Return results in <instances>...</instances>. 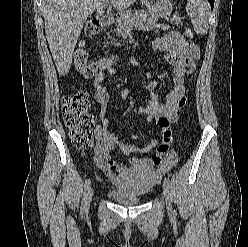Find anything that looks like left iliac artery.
Segmentation results:
<instances>
[{"mask_svg":"<svg viewBox=\"0 0 248 247\" xmlns=\"http://www.w3.org/2000/svg\"><path fill=\"white\" fill-rule=\"evenodd\" d=\"M165 180H168V181H169V183L171 184V181H170V179H169V178H165ZM172 212H173V213H176V212H175V210H173Z\"/></svg>","mask_w":248,"mask_h":247,"instance_id":"44dca946","label":"left iliac artery"}]
</instances>
